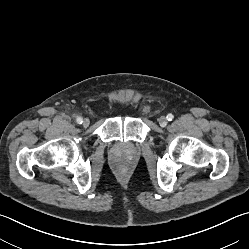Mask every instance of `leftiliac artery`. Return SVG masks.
<instances>
[{
	"label": "left iliac artery",
	"mask_w": 249,
	"mask_h": 249,
	"mask_svg": "<svg viewBox=\"0 0 249 249\" xmlns=\"http://www.w3.org/2000/svg\"><path fill=\"white\" fill-rule=\"evenodd\" d=\"M173 118H174V116H173L171 113H169V114L167 115V119H168L169 121L173 120Z\"/></svg>",
	"instance_id": "1"
}]
</instances>
